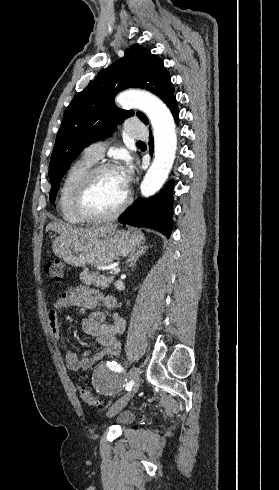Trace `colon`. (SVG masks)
Masks as SVG:
<instances>
[{
    "label": "colon",
    "mask_w": 279,
    "mask_h": 490,
    "mask_svg": "<svg viewBox=\"0 0 279 490\" xmlns=\"http://www.w3.org/2000/svg\"><path fill=\"white\" fill-rule=\"evenodd\" d=\"M62 269L63 264L60 260H52L44 266L45 274L49 277H53L57 281L62 278ZM79 393L82 401L90 407H101V402L90 389L81 387Z\"/></svg>",
    "instance_id": "1"
}]
</instances>
